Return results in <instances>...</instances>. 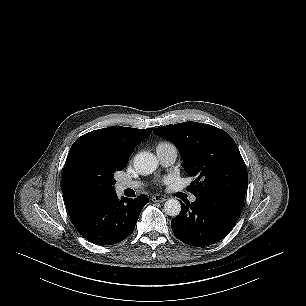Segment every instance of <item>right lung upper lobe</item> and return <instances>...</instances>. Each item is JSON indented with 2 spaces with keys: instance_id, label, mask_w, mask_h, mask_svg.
<instances>
[{
  "instance_id": "1",
  "label": "right lung upper lobe",
  "mask_w": 306,
  "mask_h": 306,
  "mask_svg": "<svg viewBox=\"0 0 306 306\" xmlns=\"http://www.w3.org/2000/svg\"><path fill=\"white\" fill-rule=\"evenodd\" d=\"M151 132L152 128L140 130L112 126L86 133L74 142L67 156L62 177V192L70 217L116 196L115 191H104L89 195L74 188L68 180V168L73 158L79 152L87 151L93 155L107 156L128 162L134 147L146 139Z\"/></svg>"
}]
</instances>
